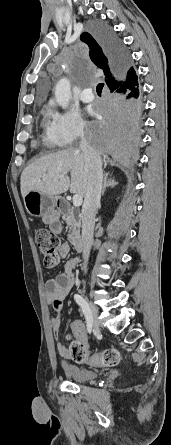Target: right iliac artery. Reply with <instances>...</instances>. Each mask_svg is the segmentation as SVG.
I'll return each instance as SVG.
<instances>
[{"label":"right iliac artery","mask_w":171,"mask_h":445,"mask_svg":"<svg viewBox=\"0 0 171 445\" xmlns=\"http://www.w3.org/2000/svg\"><path fill=\"white\" fill-rule=\"evenodd\" d=\"M74 299H75L76 303L82 309V312H83V314L85 316L86 323H87V331H88L89 334H91V332H92V322H91L90 315H89L88 305H87L86 301L84 300V298L82 296H80L79 294H75L74 295Z\"/></svg>","instance_id":"obj_1"}]
</instances>
